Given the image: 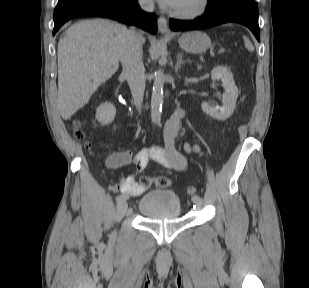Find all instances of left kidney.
<instances>
[{
	"mask_svg": "<svg viewBox=\"0 0 309 288\" xmlns=\"http://www.w3.org/2000/svg\"><path fill=\"white\" fill-rule=\"evenodd\" d=\"M212 80H221L224 88L223 94V106L214 108L207 102L201 104L202 110L217 120H226L229 118L236 106V100L238 97V89L235 85L233 75L231 71L224 66H216L211 71Z\"/></svg>",
	"mask_w": 309,
	"mask_h": 288,
	"instance_id": "5707ae66",
	"label": "left kidney"
}]
</instances>
